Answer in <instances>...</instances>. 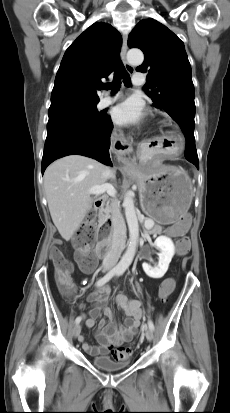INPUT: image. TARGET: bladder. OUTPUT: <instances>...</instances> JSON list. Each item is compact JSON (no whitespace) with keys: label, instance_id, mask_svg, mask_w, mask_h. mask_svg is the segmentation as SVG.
Here are the masks:
<instances>
[{"label":"bladder","instance_id":"1","mask_svg":"<svg viewBox=\"0 0 230 413\" xmlns=\"http://www.w3.org/2000/svg\"><path fill=\"white\" fill-rule=\"evenodd\" d=\"M131 361L116 362L108 356H98L92 358V364L100 370L113 372L123 370L129 367Z\"/></svg>","mask_w":230,"mask_h":413}]
</instances>
